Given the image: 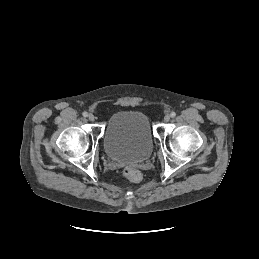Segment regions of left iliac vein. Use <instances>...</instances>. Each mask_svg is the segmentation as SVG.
Instances as JSON below:
<instances>
[{"instance_id": "obj_1", "label": "left iliac vein", "mask_w": 259, "mask_h": 259, "mask_svg": "<svg viewBox=\"0 0 259 259\" xmlns=\"http://www.w3.org/2000/svg\"><path fill=\"white\" fill-rule=\"evenodd\" d=\"M169 120H170V115H165V116H164V121H165V122H168Z\"/></svg>"}]
</instances>
